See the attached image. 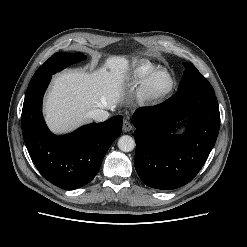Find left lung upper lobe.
Masks as SVG:
<instances>
[{"instance_id": "5c2ea615", "label": "left lung upper lobe", "mask_w": 247, "mask_h": 247, "mask_svg": "<svg viewBox=\"0 0 247 247\" xmlns=\"http://www.w3.org/2000/svg\"><path fill=\"white\" fill-rule=\"evenodd\" d=\"M185 71L183 78L179 84V89L190 86H199L204 88H212L209 81L197 70V68L189 62L183 63Z\"/></svg>"}]
</instances>
